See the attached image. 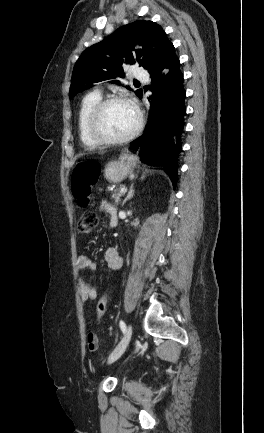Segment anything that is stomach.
<instances>
[{
    "label": "stomach",
    "instance_id": "0dacf381",
    "mask_svg": "<svg viewBox=\"0 0 264 433\" xmlns=\"http://www.w3.org/2000/svg\"><path fill=\"white\" fill-rule=\"evenodd\" d=\"M137 162L138 158L135 155L123 151L117 161H110L106 164L104 177L110 183H120L133 173Z\"/></svg>",
    "mask_w": 264,
    "mask_h": 433
}]
</instances>
